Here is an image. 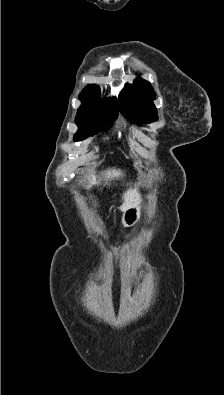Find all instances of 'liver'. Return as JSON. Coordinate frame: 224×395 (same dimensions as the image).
<instances>
[{
	"label": "liver",
	"instance_id": "1",
	"mask_svg": "<svg viewBox=\"0 0 224 395\" xmlns=\"http://www.w3.org/2000/svg\"><path fill=\"white\" fill-rule=\"evenodd\" d=\"M104 176V180H106V184L108 182V180H114V179H118L121 176H123L121 170H117V169H109L108 171H105L102 173ZM89 182L91 185L96 184V176L94 174H90L89 175ZM123 203L120 206V210L121 211H125L126 209H128L129 207L138 204L141 200V196L140 193L138 191V188L135 186V188H130L128 189L124 194H123Z\"/></svg>",
	"mask_w": 224,
	"mask_h": 395
}]
</instances>
